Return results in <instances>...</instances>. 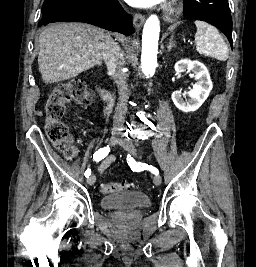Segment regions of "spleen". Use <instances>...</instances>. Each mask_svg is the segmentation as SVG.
Here are the masks:
<instances>
[{
    "label": "spleen",
    "instance_id": "3e777b00",
    "mask_svg": "<svg viewBox=\"0 0 256 267\" xmlns=\"http://www.w3.org/2000/svg\"><path fill=\"white\" fill-rule=\"evenodd\" d=\"M197 32L195 38V48L199 54H205L220 62H226L229 58V50L217 28L206 24V22H194Z\"/></svg>",
    "mask_w": 256,
    "mask_h": 267
}]
</instances>
